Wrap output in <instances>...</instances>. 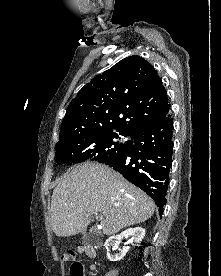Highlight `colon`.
<instances>
[{"instance_id":"5ec220e1","label":"colon","mask_w":221,"mask_h":276,"mask_svg":"<svg viewBox=\"0 0 221 276\" xmlns=\"http://www.w3.org/2000/svg\"><path fill=\"white\" fill-rule=\"evenodd\" d=\"M62 259L66 262H72L71 275L72 276H84L83 266L75 261V253L72 250H68L63 253Z\"/></svg>"}]
</instances>
